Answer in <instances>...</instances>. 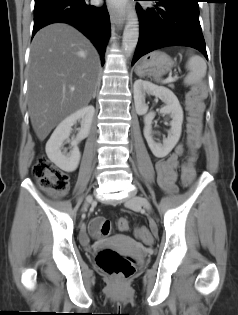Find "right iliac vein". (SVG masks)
<instances>
[{"label": "right iliac vein", "mask_w": 238, "mask_h": 315, "mask_svg": "<svg viewBox=\"0 0 238 315\" xmlns=\"http://www.w3.org/2000/svg\"><path fill=\"white\" fill-rule=\"evenodd\" d=\"M92 200H93L92 196H88V197L86 198V202H85V205H84V209H86V208L88 207V204H89L90 202H92Z\"/></svg>", "instance_id": "obj_1"}]
</instances>
